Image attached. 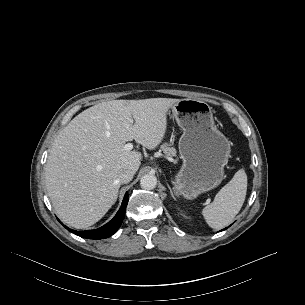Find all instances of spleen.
Segmentation results:
<instances>
[{
	"label": "spleen",
	"mask_w": 305,
	"mask_h": 305,
	"mask_svg": "<svg viewBox=\"0 0 305 305\" xmlns=\"http://www.w3.org/2000/svg\"><path fill=\"white\" fill-rule=\"evenodd\" d=\"M247 192V175L238 170L233 178L215 196L214 201L202 210L207 224L214 229L227 226L239 213Z\"/></svg>",
	"instance_id": "3e777b00"
}]
</instances>
